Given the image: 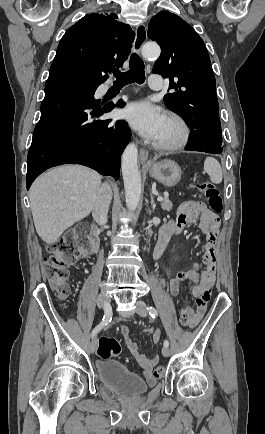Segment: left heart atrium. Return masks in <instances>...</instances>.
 <instances>
[{"instance_id": "obj_1", "label": "left heart atrium", "mask_w": 265, "mask_h": 434, "mask_svg": "<svg viewBox=\"0 0 265 434\" xmlns=\"http://www.w3.org/2000/svg\"><path fill=\"white\" fill-rule=\"evenodd\" d=\"M124 116L133 129L155 142L160 139L167 123L162 110L145 100L130 103Z\"/></svg>"}]
</instances>
